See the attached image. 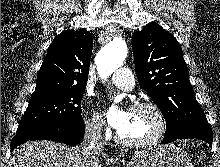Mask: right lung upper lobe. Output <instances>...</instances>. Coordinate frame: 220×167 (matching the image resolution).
Masks as SVG:
<instances>
[{
	"label": "right lung upper lobe",
	"instance_id": "obj_1",
	"mask_svg": "<svg viewBox=\"0 0 220 167\" xmlns=\"http://www.w3.org/2000/svg\"><path fill=\"white\" fill-rule=\"evenodd\" d=\"M91 53L92 36L89 31H63L48 47L32 98L68 87L86 86Z\"/></svg>",
	"mask_w": 220,
	"mask_h": 167
}]
</instances>
